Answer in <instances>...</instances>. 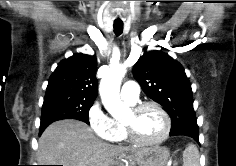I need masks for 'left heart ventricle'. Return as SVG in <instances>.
Returning a JSON list of instances; mask_svg holds the SVG:
<instances>
[{
  "instance_id": "obj_1",
  "label": "left heart ventricle",
  "mask_w": 236,
  "mask_h": 166,
  "mask_svg": "<svg viewBox=\"0 0 236 166\" xmlns=\"http://www.w3.org/2000/svg\"><path fill=\"white\" fill-rule=\"evenodd\" d=\"M124 122L132 125L136 135L144 141L157 139L164 130L163 117L159 111L153 107H147L137 115H133L129 112Z\"/></svg>"
}]
</instances>
